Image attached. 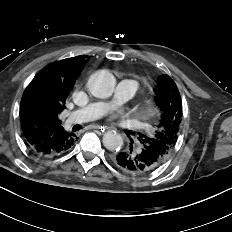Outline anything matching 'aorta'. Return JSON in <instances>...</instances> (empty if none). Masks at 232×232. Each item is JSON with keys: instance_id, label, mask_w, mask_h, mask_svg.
<instances>
[{"instance_id": "aorta-1", "label": "aorta", "mask_w": 232, "mask_h": 232, "mask_svg": "<svg viewBox=\"0 0 232 232\" xmlns=\"http://www.w3.org/2000/svg\"><path fill=\"white\" fill-rule=\"evenodd\" d=\"M115 85L114 76L105 70L94 73L89 81L88 88L91 94L97 98H108L112 95ZM103 145L110 151L119 150L123 145V139L115 131H108L103 136Z\"/></svg>"}]
</instances>
